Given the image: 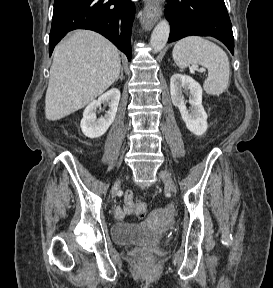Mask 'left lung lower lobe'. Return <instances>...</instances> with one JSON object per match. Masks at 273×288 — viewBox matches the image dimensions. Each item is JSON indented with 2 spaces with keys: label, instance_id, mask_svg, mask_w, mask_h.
<instances>
[{
  "label": "left lung lower lobe",
  "instance_id": "obj_1",
  "mask_svg": "<svg viewBox=\"0 0 273 288\" xmlns=\"http://www.w3.org/2000/svg\"><path fill=\"white\" fill-rule=\"evenodd\" d=\"M168 43L189 35L212 36L234 53L231 21L224 0H167Z\"/></svg>",
  "mask_w": 273,
  "mask_h": 288
}]
</instances>
